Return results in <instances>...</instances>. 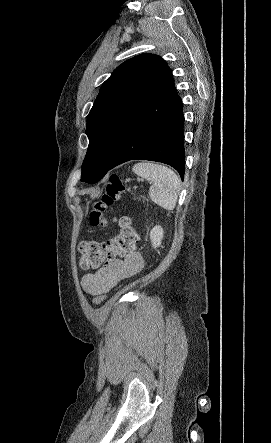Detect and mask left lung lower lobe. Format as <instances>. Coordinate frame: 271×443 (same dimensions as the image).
<instances>
[{"label":"left lung lower lobe","instance_id":"left-lung-lower-lobe-1","mask_svg":"<svg viewBox=\"0 0 271 443\" xmlns=\"http://www.w3.org/2000/svg\"><path fill=\"white\" fill-rule=\"evenodd\" d=\"M184 115L167 67L157 78L125 130L110 170L129 160H150L185 172Z\"/></svg>","mask_w":271,"mask_h":443}]
</instances>
